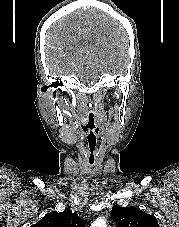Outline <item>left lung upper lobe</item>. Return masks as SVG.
<instances>
[{
	"mask_svg": "<svg viewBox=\"0 0 179 227\" xmlns=\"http://www.w3.org/2000/svg\"><path fill=\"white\" fill-rule=\"evenodd\" d=\"M112 218L119 227H160L157 219L135 207L112 208Z\"/></svg>",
	"mask_w": 179,
	"mask_h": 227,
	"instance_id": "1",
	"label": "left lung upper lobe"
}]
</instances>
